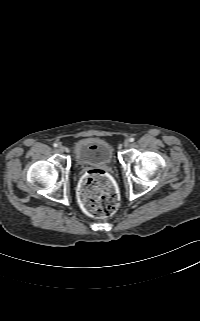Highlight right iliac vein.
I'll return each mask as SVG.
<instances>
[{"instance_id": "1", "label": "right iliac vein", "mask_w": 200, "mask_h": 321, "mask_svg": "<svg viewBox=\"0 0 200 321\" xmlns=\"http://www.w3.org/2000/svg\"><path fill=\"white\" fill-rule=\"evenodd\" d=\"M64 150H65L64 146H62V145H59V146H58V151H59V152L62 153V152H64Z\"/></svg>"}]
</instances>
